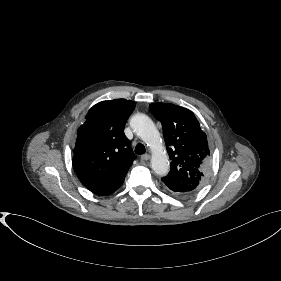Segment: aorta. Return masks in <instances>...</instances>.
I'll return each instance as SVG.
<instances>
[{"instance_id":"obj_1","label":"aorta","mask_w":281,"mask_h":281,"mask_svg":"<svg viewBox=\"0 0 281 281\" xmlns=\"http://www.w3.org/2000/svg\"><path fill=\"white\" fill-rule=\"evenodd\" d=\"M130 125L133 131L151 148V167L154 172L160 176L166 175L169 171V158L153 121L144 114H136L131 118Z\"/></svg>"}]
</instances>
